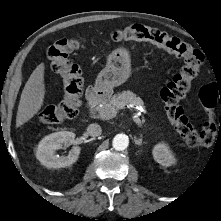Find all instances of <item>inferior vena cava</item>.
Wrapping results in <instances>:
<instances>
[{
    "mask_svg": "<svg viewBox=\"0 0 221 221\" xmlns=\"http://www.w3.org/2000/svg\"><path fill=\"white\" fill-rule=\"evenodd\" d=\"M87 133L92 137H97L101 135L102 133L101 126L97 123L90 124L87 127Z\"/></svg>",
    "mask_w": 221,
    "mask_h": 221,
    "instance_id": "inferior-vena-cava-1",
    "label": "inferior vena cava"
}]
</instances>
